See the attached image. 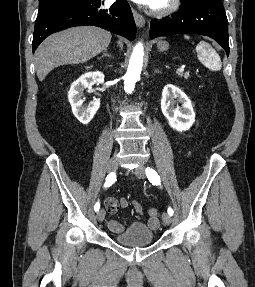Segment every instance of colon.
<instances>
[{
  "mask_svg": "<svg viewBox=\"0 0 255 287\" xmlns=\"http://www.w3.org/2000/svg\"><path fill=\"white\" fill-rule=\"evenodd\" d=\"M148 214L150 215V217H154V218H159L160 216V212L155 208H150L148 210Z\"/></svg>",
  "mask_w": 255,
  "mask_h": 287,
  "instance_id": "1",
  "label": "colon"
}]
</instances>
